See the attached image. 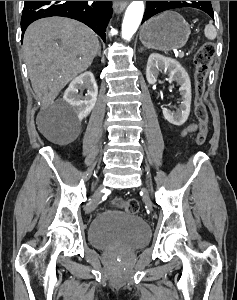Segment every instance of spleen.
I'll list each match as a JSON object with an SVG mask.
<instances>
[{
	"instance_id": "1",
	"label": "spleen",
	"mask_w": 237,
	"mask_h": 300,
	"mask_svg": "<svg viewBox=\"0 0 237 300\" xmlns=\"http://www.w3.org/2000/svg\"><path fill=\"white\" fill-rule=\"evenodd\" d=\"M204 35L207 37V39H210V41H213V39H216V29L214 25H206L204 29Z\"/></svg>"
}]
</instances>
